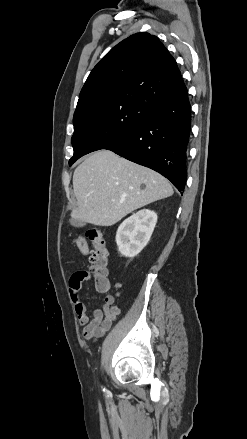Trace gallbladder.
<instances>
[{"instance_id":"gallbladder-1","label":"gallbladder","mask_w":247,"mask_h":439,"mask_svg":"<svg viewBox=\"0 0 247 439\" xmlns=\"http://www.w3.org/2000/svg\"><path fill=\"white\" fill-rule=\"evenodd\" d=\"M70 223H71L73 226H77V227H81V226L84 225L83 222H81V221H79V220H77V219H75V218H73V217L70 219Z\"/></svg>"}]
</instances>
